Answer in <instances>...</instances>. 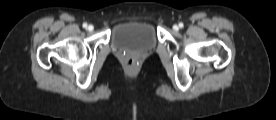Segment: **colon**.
Here are the masks:
<instances>
[{
	"label": "colon",
	"mask_w": 276,
	"mask_h": 120,
	"mask_svg": "<svg viewBox=\"0 0 276 120\" xmlns=\"http://www.w3.org/2000/svg\"><path fill=\"white\" fill-rule=\"evenodd\" d=\"M135 64H136V61H135L134 59H129V60L127 61V65H128L129 67H133Z\"/></svg>",
	"instance_id": "obj_1"
}]
</instances>
